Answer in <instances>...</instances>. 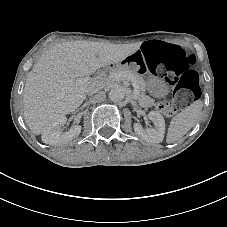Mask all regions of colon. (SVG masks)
Returning a JSON list of instances; mask_svg holds the SVG:
<instances>
[{"label": "colon", "instance_id": "obj_1", "mask_svg": "<svg viewBox=\"0 0 227 227\" xmlns=\"http://www.w3.org/2000/svg\"><path fill=\"white\" fill-rule=\"evenodd\" d=\"M146 71L158 75L173 85L171 100L161 102V111L171 116L177 108L200 97L198 74L193 69L195 57L180 46L161 41H149L142 45Z\"/></svg>", "mask_w": 227, "mask_h": 227}]
</instances>
